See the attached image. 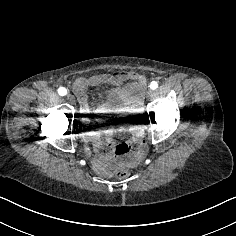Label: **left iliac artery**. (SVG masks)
<instances>
[{
    "label": "left iliac artery",
    "instance_id": "left-iliac-artery-1",
    "mask_svg": "<svg viewBox=\"0 0 236 236\" xmlns=\"http://www.w3.org/2000/svg\"><path fill=\"white\" fill-rule=\"evenodd\" d=\"M157 87H158V83L155 82V81H152L151 84H150V88H151L152 90H155Z\"/></svg>",
    "mask_w": 236,
    "mask_h": 236
}]
</instances>
